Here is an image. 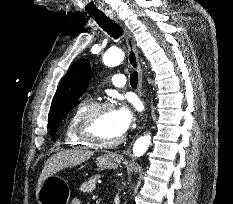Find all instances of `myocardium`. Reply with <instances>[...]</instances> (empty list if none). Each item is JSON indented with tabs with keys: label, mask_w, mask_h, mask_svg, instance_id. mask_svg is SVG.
I'll return each instance as SVG.
<instances>
[{
	"label": "myocardium",
	"mask_w": 233,
	"mask_h": 204,
	"mask_svg": "<svg viewBox=\"0 0 233 204\" xmlns=\"http://www.w3.org/2000/svg\"><path fill=\"white\" fill-rule=\"evenodd\" d=\"M107 109H113V105L109 102L92 103L86 107L79 118L77 127L78 134L84 141H86L90 145L111 147L118 145L124 139L123 136H120L116 139L105 140L97 137L94 134L93 125L96 117L99 113Z\"/></svg>",
	"instance_id": "f54148a6"
}]
</instances>
